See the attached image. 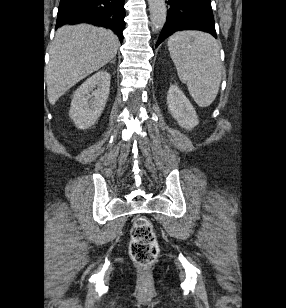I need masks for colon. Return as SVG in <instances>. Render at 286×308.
<instances>
[{
    "label": "colon",
    "mask_w": 286,
    "mask_h": 308,
    "mask_svg": "<svg viewBox=\"0 0 286 308\" xmlns=\"http://www.w3.org/2000/svg\"><path fill=\"white\" fill-rule=\"evenodd\" d=\"M130 256L140 266L151 265L159 254V244L152 222L147 217H138L131 231Z\"/></svg>",
    "instance_id": "5ec220e1"
}]
</instances>
